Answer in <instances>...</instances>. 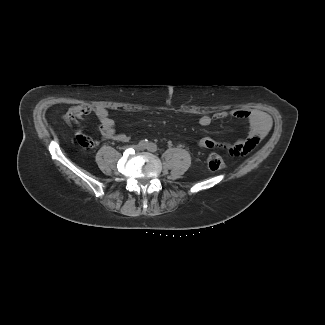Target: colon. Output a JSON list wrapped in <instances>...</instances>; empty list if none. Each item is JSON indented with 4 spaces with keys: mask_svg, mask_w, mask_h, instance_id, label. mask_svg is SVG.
<instances>
[{
    "mask_svg": "<svg viewBox=\"0 0 325 325\" xmlns=\"http://www.w3.org/2000/svg\"><path fill=\"white\" fill-rule=\"evenodd\" d=\"M207 163L210 170L212 171H220L225 167V162L223 158L216 153L209 154L207 158Z\"/></svg>",
    "mask_w": 325,
    "mask_h": 325,
    "instance_id": "obj_1",
    "label": "colon"
}]
</instances>
